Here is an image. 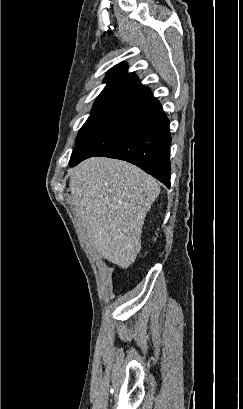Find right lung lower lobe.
<instances>
[{
	"label": "right lung lower lobe",
	"mask_w": 243,
	"mask_h": 409,
	"mask_svg": "<svg viewBox=\"0 0 243 409\" xmlns=\"http://www.w3.org/2000/svg\"><path fill=\"white\" fill-rule=\"evenodd\" d=\"M169 120L149 88L124 100L73 151L69 165L94 156L125 160L170 187Z\"/></svg>",
	"instance_id": "right-lung-lower-lobe-1"
}]
</instances>
